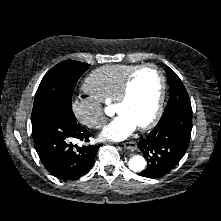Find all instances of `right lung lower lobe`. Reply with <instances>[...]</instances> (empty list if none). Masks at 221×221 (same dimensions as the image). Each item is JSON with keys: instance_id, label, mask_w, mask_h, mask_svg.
I'll return each mask as SVG.
<instances>
[{"instance_id": "obj_1", "label": "right lung lower lobe", "mask_w": 221, "mask_h": 221, "mask_svg": "<svg viewBox=\"0 0 221 221\" xmlns=\"http://www.w3.org/2000/svg\"><path fill=\"white\" fill-rule=\"evenodd\" d=\"M35 149L41 162L53 176L64 180L77 179L93 166L95 155L101 146L79 147L72 139L89 141L91 133L76 118L53 113L32 123Z\"/></svg>"}]
</instances>
